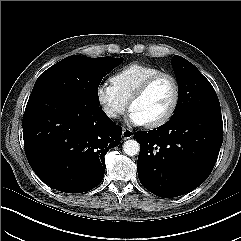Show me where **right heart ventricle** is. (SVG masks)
Listing matches in <instances>:
<instances>
[{"mask_svg": "<svg viewBox=\"0 0 241 241\" xmlns=\"http://www.w3.org/2000/svg\"><path fill=\"white\" fill-rule=\"evenodd\" d=\"M159 72L161 70L152 65L131 63L114 73L110 80L119 94L129 101L132 94L146 79Z\"/></svg>", "mask_w": 241, "mask_h": 241, "instance_id": "e07e8e85", "label": "right heart ventricle"}]
</instances>
